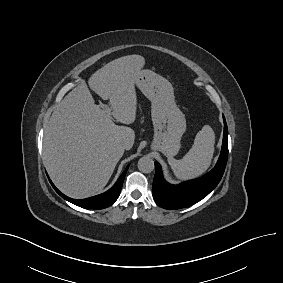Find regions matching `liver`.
Here are the masks:
<instances>
[{"label":"liver","mask_w":283,"mask_h":283,"mask_svg":"<svg viewBox=\"0 0 283 283\" xmlns=\"http://www.w3.org/2000/svg\"><path fill=\"white\" fill-rule=\"evenodd\" d=\"M145 65L140 55L115 59L89 78L90 88L112 109L106 114L81 83L58 104L44 131L43 157L55 185L66 195L82 199L100 193L124 154L131 149L136 119V80Z\"/></svg>","instance_id":"liver-1"}]
</instances>
